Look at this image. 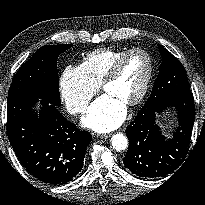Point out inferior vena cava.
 I'll return each mask as SVG.
<instances>
[{
    "mask_svg": "<svg viewBox=\"0 0 205 205\" xmlns=\"http://www.w3.org/2000/svg\"><path fill=\"white\" fill-rule=\"evenodd\" d=\"M80 111H85V108L80 109Z\"/></svg>",
    "mask_w": 205,
    "mask_h": 205,
    "instance_id": "602c4592",
    "label": "inferior vena cava"
}]
</instances>
